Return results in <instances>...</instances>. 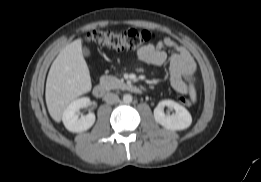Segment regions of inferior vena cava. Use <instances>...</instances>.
<instances>
[{
	"label": "inferior vena cava",
	"mask_w": 261,
	"mask_h": 182,
	"mask_svg": "<svg viewBox=\"0 0 261 182\" xmlns=\"http://www.w3.org/2000/svg\"><path fill=\"white\" fill-rule=\"evenodd\" d=\"M104 100L109 103V104H115L119 102V97L118 95L114 94V93H107L104 96Z\"/></svg>",
	"instance_id": "602c4592"
}]
</instances>
